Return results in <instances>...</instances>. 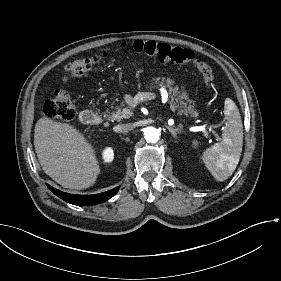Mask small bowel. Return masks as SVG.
<instances>
[{
	"instance_id": "small-bowel-1",
	"label": "small bowel",
	"mask_w": 281,
	"mask_h": 281,
	"mask_svg": "<svg viewBox=\"0 0 281 281\" xmlns=\"http://www.w3.org/2000/svg\"><path fill=\"white\" fill-rule=\"evenodd\" d=\"M68 80H69V78L67 76H64L63 79H62L63 83H67Z\"/></svg>"
}]
</instances>
